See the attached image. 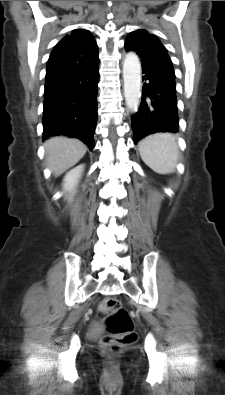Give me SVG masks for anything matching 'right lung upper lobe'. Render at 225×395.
<instances>
[{"label":"right lung upper lobe","instance_id":"1","mask_svg":"<svg viewBox=\"0 0 225 395\" xmlns=\"http://www.w3.org/2000/svg\"><path fill=\"white\" fill-rule=\"evenodd\" d=\"M98 59V47L89 31L75 29L57 43L50 54L46 79L86 68Z\"/></svg>","mask_w":225,"mask_h":395}]
</instances>
